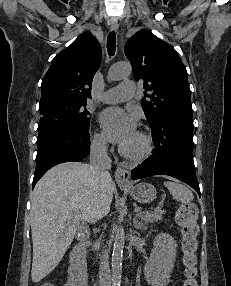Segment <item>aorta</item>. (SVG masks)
Instances as JSON below:
<instances>
[{
  "label": "aorta",
  "mask_w": 231,
  "mask_h": 286,
  "mask_svg": "<svg viewBox=\"0 0 231 286\" xmlns=\"http://www.w3.org/2000/svg\"><path fill=\"white\" fill-rule=\"evenodd\" d=\"M132 67L129 63H117L108 72V79L115 81L127 77L131 74ZM125 243V231L123 227H118L115 233L112 252V282L114 286H120L123 248Z\"/></svg>",
  "instance_id": "obj_1"
}]
</instances>
